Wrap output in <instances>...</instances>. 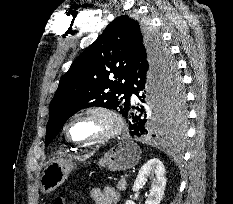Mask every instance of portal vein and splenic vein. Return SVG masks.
<instances>
[{
  "mask_svg": "<svg viewBox=\"0 0 233 204\" xmlns=\"http://www.w3.org/2000/svg\"><path fill=\"white\" fill-rule=\"evenodd\" d=\"M122 180H125V177H124V176H122Z\"/></svg>",
  "mask_w": 233,
  "mask_h": 204,
  "instance_id": "portal-vein-and-splenic-vein-1",
  "label": "portal vein and splenic vein"
}]
</instances>
